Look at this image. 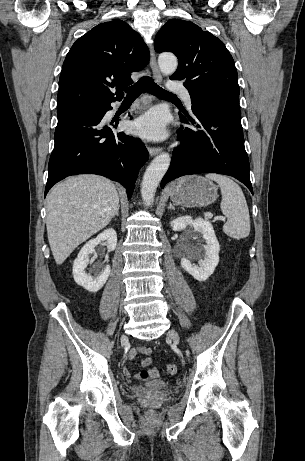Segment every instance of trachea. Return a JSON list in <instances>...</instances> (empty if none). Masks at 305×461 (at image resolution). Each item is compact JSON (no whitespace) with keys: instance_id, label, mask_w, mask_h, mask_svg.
Listing matches in <instances>:
<instances>
[{"instance_id":"3493384b","label":"trachea","mask_w":305,"mask_h":461,"mask_svg":"<svg viewBox=\"0 0 305 461\" xmlns=\"http://www.w3.org/2000/svg\"><path fill=\"white\" fill-rule=\"evenodd\" d=\"M145 90L148 93L153 94L160 98L177 97L175 94L170 93L164 90L163 88H161L160 86H158L151 77L144 76L140 78L139 81L135 85L125 90L127 93L125 99H136L137 97L141 95L142 92H145Z\"/></svg>"}]
</instances>
